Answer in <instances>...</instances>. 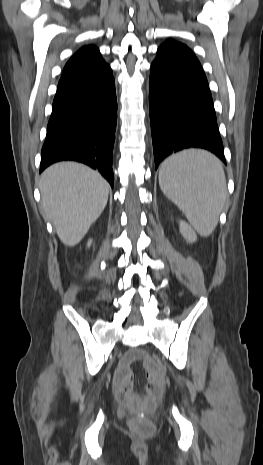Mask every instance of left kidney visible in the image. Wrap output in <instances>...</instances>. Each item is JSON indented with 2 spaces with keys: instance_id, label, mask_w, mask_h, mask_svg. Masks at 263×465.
Segmentation results:
<instances>
[{
  "instance_id": "left-kidney-1",
  "label": "left kidney",
  "mask_w": 263,
  "mask_h": 465,
  "mask_svg": "<svg viewBox=\"0 0 263 465\" xmlns=\"http://www.w3.org/2000/svg\"><path fill=\"white\" fill-rule=\"evenodd\" d=\"M180 232L189 243L195 242L197 239L195 232L183 221H180Z\"/></svg>"
}]
</instances>
